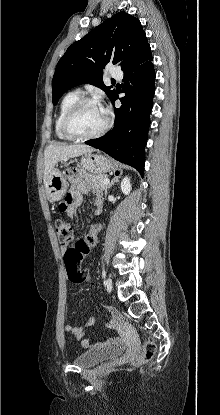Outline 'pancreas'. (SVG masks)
Returning <instances> with one entry per match:
<instances>
[{
	"label": "pancreas",
	"instance_id": "cf45deb5",
	"mask_svg": "<svg viewBox=\"0 0 220 415\" xmlns=\"http://www.w3.org/2000/svg\"><path fill=\"white\" fill-rule=\"evenodd\" d=\"M85 178L87 182L91 185L93 190H107L108 186L103 183L104 179L107 178L106 175H91L86 174Z\"/></svg>",
	"mask_w": 220,
	"mask_h": 415
}]
</instances>
